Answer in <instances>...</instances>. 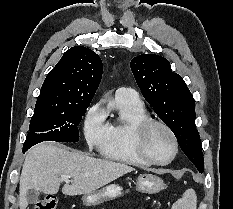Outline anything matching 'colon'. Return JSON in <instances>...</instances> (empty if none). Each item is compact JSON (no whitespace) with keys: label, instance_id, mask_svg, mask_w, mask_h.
Segmentation results:
<instances>
[{"label":"colon","instance_id":"5ec220e1","mask_svg":"<svg viewBox=\"0 0 233 209\" xmlns=\"http://www.w3.org/2000/svg\"><path fill=\"white\" fill-rule=\"evenodd\" d=\"M57 199L55 197H49L39 201L34 209H56Z\"/></svg>","mask_w":233,"mask_h":209}]
</instances>
